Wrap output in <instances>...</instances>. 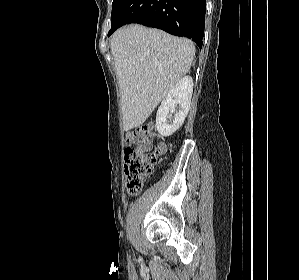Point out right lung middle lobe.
<instances>
[{
    "label": "right lung middle lobe",
    "mask_w": 299,
    "mask_h": 280,
    "mask_svg": "<svg viewBox=\"0 0 299 280\" xmlns=\"http://www.w3.org/2000/svg\"><path fill=\"white\" fill-rule=\"evenodd\" d=\"M125 2V0H113L112 3V13H111V26L114 18L116 17L119 9L121 8L122 4Z\"/></svg>",
    "instance_id": "1"
}]
</instances>
